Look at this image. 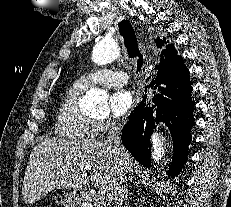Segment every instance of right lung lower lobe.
Segmentation results:
<instances>
[{
    "label": "right lung lower lobe",
    "instance_id": "obj_1",
    "mask_svg": "<svg viewBox=\"0 0 231 207\" xmlns=\"http://www.w3.org/2000/svg\"><path fill=\"white\" fill-rule=\"evenodd\" d=\"M156 68V78L150 84L155 90L154 104L142 103L130 114L121 139L135 159L149 168V135L155 123L164 122L172 137V162L167 173L177 176L187 161L190 130L194 124L192 86L189 71L180 56L161 57Z\"/></svg>",
    "mask_w": 231,
    "mask_h": 207
}]
</instances>
